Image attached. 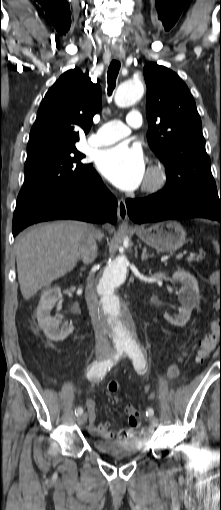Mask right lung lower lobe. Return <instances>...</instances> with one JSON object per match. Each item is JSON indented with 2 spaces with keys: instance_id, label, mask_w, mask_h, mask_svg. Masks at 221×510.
<instances>
[{
  "instance_id": "right-lung-lower-lobe-1",
  "label": "right lung lower lobe",
  "mask_w": 221,
  "mask_h": 510,
  "mask_svg": "<svg viewBox=\"0 0 221 510\" xmlns=\"http://www.w3.org/2000/svg\"><path fill=\"white\" fill-rule=\"evenodd\" d=\"M55 219H76L96 223L108 221L115 224L117 201L95 169L91 168L80 182L46 198L24 219L19 220L13 216V236L29 225Z\"/></svg>"
}]
</instances>
